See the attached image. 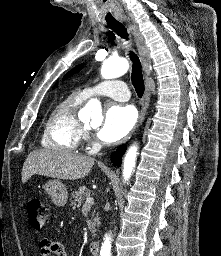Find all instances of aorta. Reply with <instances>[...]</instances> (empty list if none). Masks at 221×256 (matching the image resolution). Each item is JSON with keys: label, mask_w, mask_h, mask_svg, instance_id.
<instances>
[{"label": "aorta", "mask_w": 221, "mask_h": 256, "mask_svg": "<svg viewBox=\"0 0 221 256\" xmlns=\"http://www.w3.org/2000/svg\"><path fill=\"white\" fill-rule=\"evenodd\" d=\"M129 69V63L124 58L119 59H107L103 62L101 67V76L104 79H113L124 75ZM102 107L98 99H91L87 102L85 107L80 111V115L87 116L92 119L101 118ZM138 147L136 144L132 145L124 159L123 163V178L127 181L136 165ZM111 250V235L106 234L104 237V242L102 243L100 256H110Z\"/></svg>", "instance_id": "obj_1"}]
</instances>
